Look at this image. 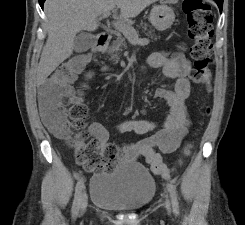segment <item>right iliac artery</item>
<instances>
[{"label": "right iliac artery", "mask_w": 245, "mask_h": 225, "mask_svg": "<svg viewBox=\"0 0 245 225\" xmlns=\"http://www.w3.org/2000/svg\"><path fill=\"white\" fill-rule=\"evenodd\" d=\"M84 188V179L83 177L77 182L76 188H75V195H74V201H73V206H72V217H76L79 208H80V200H81V192L82 189Z\"/></svg>", "instance_id": "right-iliac-artery-1"}]
</instances>
